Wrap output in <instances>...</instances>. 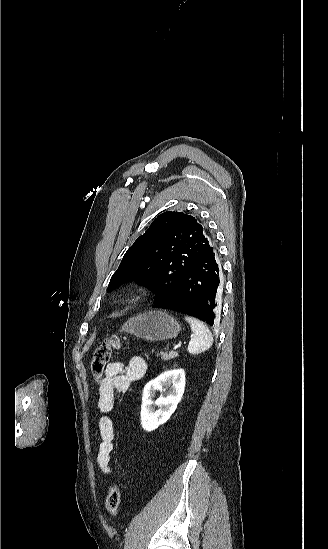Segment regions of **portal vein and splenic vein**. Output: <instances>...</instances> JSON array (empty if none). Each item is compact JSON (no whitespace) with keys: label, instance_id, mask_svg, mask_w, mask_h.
<instances>
[{"label":"portal vein and splenic vein","instance_id":"portal-vein-and-splenic-vein-1","mask_svg":"<svg viewBox=\"0 0 328 549\" xmlns=\"http://www.w3.org/2000/svg\"><path fill=\"white\" fill-rule=\"evenodd\" d=\"M178 347H181V343H179V345L172 346L173 351H177Z\"/></svg>","mask_w":328,"mask_h":549}]
</instances>
